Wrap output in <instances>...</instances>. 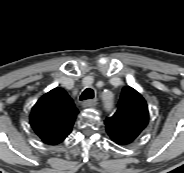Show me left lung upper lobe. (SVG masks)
Wrapping results in <instances>:
<instances>
[{
    "mask_svg": "<svg viewBox=\"0 0 184 173\" xmlns=\"http://www.w3.org/2000/svg\"><path fill=\"white\" fill-rule=\"evenodd\" d=\"M149 111L145 99L132 87H124L115 113L105 120L110 138L132 143L146 128Z\"/></svg>",
    "mask_w": 184,
    "mask_h": 173,
    "instance_id": "1",
    "label": "left lung upper lobe"
}]
</instances>
